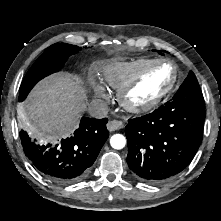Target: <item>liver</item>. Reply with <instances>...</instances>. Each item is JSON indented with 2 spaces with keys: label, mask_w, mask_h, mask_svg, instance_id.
<instances>
[{
  "label": "liver",
  "mask_w": 221,
  "mask_h": 221,
  "mask_svg": "<svg viewBox=\"0 0 221 221\" xmlns=\"http://www.w3.org/2000/svg\"><path fill=\"white\" fill-rule=\"evenodd\" d=\"M80 78L70 73L42 80L19 108L23 124L36 137L65 136L76 129L86 104Z\"/></svg>",
  "instance_id": "6515ba94"
}]
</instances>
